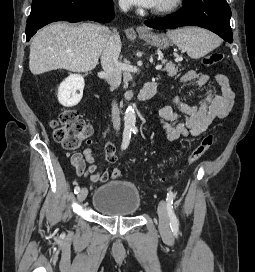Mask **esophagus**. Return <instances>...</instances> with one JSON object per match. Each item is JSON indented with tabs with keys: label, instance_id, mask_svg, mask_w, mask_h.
Instances as JSON below:
<instances>
[{
	"label": "esophagus",
	"instance_id": "1",
	"mask_svg": "<svg viewBox=\"0 0 255 272\" xmlns=\"http://www.w3.org/2000/svg\"><path fill=\"white\" fill-rule=\"evenodd\" d=\"M137 31H138L139 33H142V32H147L148 29H147L146 27H144V26H138V27H137Z\"/></svg>",
	"mask_w": 255,
	"mask_h": 272
}]
</instances>
